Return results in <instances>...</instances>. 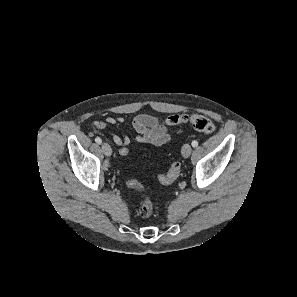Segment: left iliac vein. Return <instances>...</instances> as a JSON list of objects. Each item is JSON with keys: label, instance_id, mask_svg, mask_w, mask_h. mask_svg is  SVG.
<instances>
[{"label": "left iliac vein", "instance_id": "1", "mask_svg": "<svg viewBox=\"0 0 297 297\" xmlns=\"http://www.w3.org/2000/svg\"><path fill=\"white\" fill-rule=\"evenodd\" d=\"M192 152V148L190 144H184L182 147V155L184 158H188Z\"/></svg>", "mask_w": 297, "mask_h": 297}]
</instances>
